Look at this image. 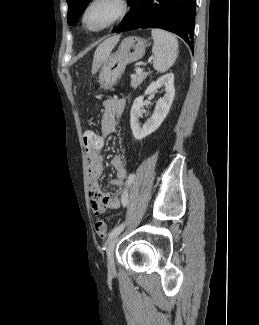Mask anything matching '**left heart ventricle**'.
Here are the masks:
<instances>
[{
	"mask_svg": "<svg viewBox=\"0 0 259 325\" xmlns=\"http://www.w3.org/2000/svg\"><path fill=\"white\" fill-rule=\"evenodd\" d=\"M117 12L118 6L112 0H103L89 10L87 23L92 27L100 26L115 17Z\"/></svg>",
	"mask_w": 259,
	"mask_h": 325,
	"instance_id": "left-heart-ventricle-1",
	"label": "left heart ventricle"
}]
</instances>
